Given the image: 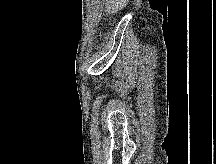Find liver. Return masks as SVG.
<instances>
[{"instance_id": "6515ba94", "label": "liver", "mask_w": 216, "mask_h": 164, "mask_svg": "<svg viewBox=\"0 0 216 164\" xmlns=\"http://www.w3.org/2000/svg\"><path fill=\"white\" fill-rule=\"evenodd\" d=\"M129 0H106L105 11L107 13H115L126 7Z\"/></svg>"}]
</instances>
